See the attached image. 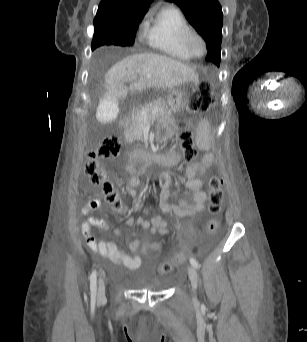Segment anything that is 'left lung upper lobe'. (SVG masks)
<instances>
[{"label":"left lung upper lobe","mask_w":307,"mask_h":342,"mask_svg":"<svg viewBox=\"0 0 307 342\" xmlns=\"http://www.w3.org/2000/svg\"><path fill=\"white\" fill-rule=\"evenodd\" d=\"M176 3L190 24L204 38L208 53L206 60L219 66L221 58L223 14L217 0H166Z\"/></svg>","instance_id":"5c2ea615"}]
</instances>
